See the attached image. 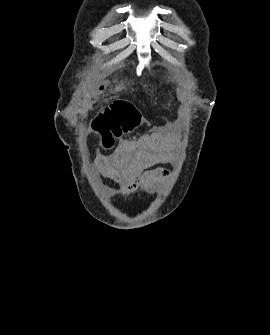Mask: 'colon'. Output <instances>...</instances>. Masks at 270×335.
<instances>
[{"mask_svg": "<svg viewBox=\"0 0 270 335\" xmlns=\"http://www.w3.org/2000/svg\"><path fill=\"white\" fill-rule=\"evenodd\" d=\"M112 106L113 111L97 110V116L91 117L92 123H98L99 133L119 136L132 132L140 121L141 111L126 101H113ZM118 108L126 110H116ZM102 146L103 148H112L113 143L112 141H103Z\"/></svg>", "mask_w": 270, "mask_h": 335, "instance_id": "colon-1", "label": "colon"}]
</instances>
